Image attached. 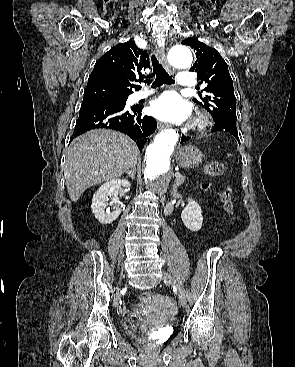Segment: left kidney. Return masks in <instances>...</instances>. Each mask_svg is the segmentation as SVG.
Returning a JSON list of instances; mask_svg holds the SVG:
<instances>
[{"instance_id":"obj_1","label":"left kidney","mask_w":295,"mask_h":367,"mask_svg":"<svg viewBox=\"0 0 295 367\" xmlns=\"http://www.w3.org/2000/svg\"><path fill=\"white\" fill-rule=\"evenodd\" d=\"M181 219L189 230L197 232L203 223L202 210L200 205L192 199H188V205L181 213Z\"/></svg>"}]
</instances>
